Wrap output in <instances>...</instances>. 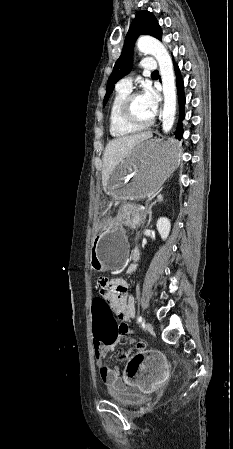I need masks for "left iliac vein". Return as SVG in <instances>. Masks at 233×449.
Instances as JSON below:
<instances>
[{
  "mask_svg": "<svg viewBox=\"0 0 233 449\" xmlns=\"http://www.w3.org/2000/svg\"><path fill=\"white\" fill-rule=\"evenodd\" d=\"M145 327H146V329H147L148 331H152V330H153V326H152V324H151L150 322H147V323L145 324Z\"/></svg>",
  "mask_w": 233,
  "mask_h": 449,
  "instance_id": "1",
  "label": "left iliac vein"
}]
</instances>
